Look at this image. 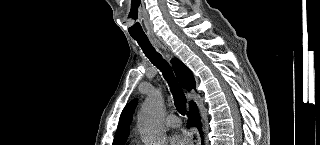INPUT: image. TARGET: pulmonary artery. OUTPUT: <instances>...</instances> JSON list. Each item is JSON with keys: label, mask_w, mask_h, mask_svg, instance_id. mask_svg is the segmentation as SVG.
<instances>
[{"label": "pulmonary artery", "mask_w": 320, "mask_h": 145, "mask_svg": "<svg viewBox=\"0 0 320 145\" xmlns=\"http://www.w3.org/2000/svg\"><path fill=\"white\" fill-rule=\"evenodd\" d=\"M165 124L169 128H178L181 125V120L178 116L170 114L166 117Z\"/></svg>", "instance_id": "pulmonary-artery-1"}]
</instances>
